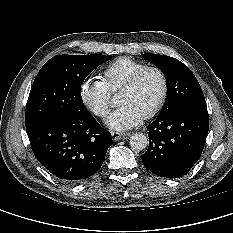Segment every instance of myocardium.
<instances>
[{"label": "myocardium", "instance_id": "myocardium-1", "mask_svg": "<svg viewBox=\"0 0 233 233\" xmlns=\"http://www.w3.org/2000/svg\"><path fill=\"white\" fill-rule=\"evenodd\" d=\"M148 72H156L162 80V93L158 99V101L155 103V105L146 113L143 115L144 119H150L154 117L164 106L168 94H169V79L167 74L164 70L157 66H147L139 71H137L135 74H133L129 80L124 84V86L121 88V92L130 91L135 88V86L139 83L141 78Z\"/></svg>", "mask_w": 233, "mask_h": 233}]
</instances>
